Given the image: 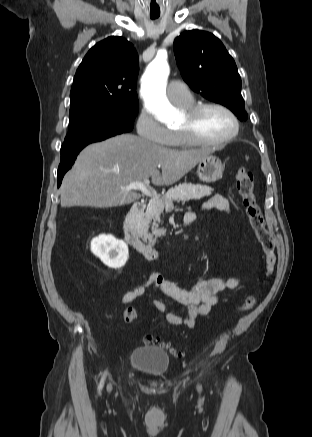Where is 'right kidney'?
<instances>
[{
    "instance_id": "1",
    "label": "right kidney",
    "mask_w": 312,
    "mask_h": 437,
    "mask_svg": "<svg viewBox=\"0 0 312 437\" xmlns=\"http://www.w3.org/2000/svg\"><path fill=\"white\" fill-rule=\"evenodd\" d=\"M91 251L111 268L125 265L129 257L128 246L123 240L112 235H100L91 242Z\"/></svg>"
}]
</instances>
